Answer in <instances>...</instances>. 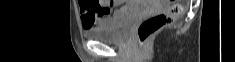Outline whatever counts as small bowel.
Instances as JSON below:
<instances>
[{
    "mask_svg": "<svg viewBox=\"0 0 235 62\" xmlns=\"http://www.w3.org/2000/svg\"><path fill=\"white\" fill-rule=\"evenodd\" d=\"M92 1H81L82 24L86 30H91L109 20L111 9L121 1L102 0L98 5L94 6Z\"/></svg>",
    "mask_w": 235,
    "mask_h": 62,
    "instance_id": "1",
    "label": "small bowel"
}]
</instances>
